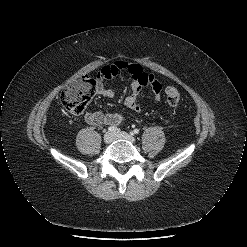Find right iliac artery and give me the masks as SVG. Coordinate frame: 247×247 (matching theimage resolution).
<instances>
[{"instance_id": "right-iliac-artery-1", "label": "right iliac artery", "mask_w": 247, "mask_h": 247, "mask_svg": "<svg viewBox=\"0 0 247 247\" xmlns=\"http://www.w3.org/2000/svg\"><path fill=\"white\" fill-rule=\"evenodd\" d=\"M108 130H109L110 132H114V133H119V132H120V129H118V128L115 127V126H110V127L108 128Z\"/></svg>"}]
</instances>
